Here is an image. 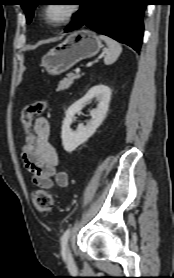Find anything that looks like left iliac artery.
Segmentation results:
<instances>
[{
  "label": "left iliac artery",
  "instance_id": "1",
  "mask_svg": "<svg viewBox=\"0 0 174 278\" xmlns=\"http://www.w3.org/2000/svg\"><path fill=\"white\" fill-rule=\"evenodd\" d=\"M70 233H71V228H68L62 238H61V247H62V250L64 251L65 250V247L67 245V242H68V239H69V236H70Z\"/></svg>",
  "mask_w": 174,
  "mask_h": 278
}]
</instances>
